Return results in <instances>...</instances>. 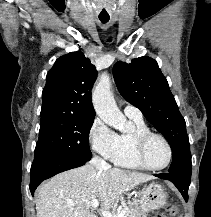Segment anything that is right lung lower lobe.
<instances>
[{
	"mask_svg": "<svg viewBox=\"0 0 211 217\" xmlns=\"http://www.w3.org/2000/svg\"><path fill=\"white\" fill-rule=\"evenodd\" d=\"M86 162L87 161L62 157H43L40 159H34L30 171L31 194H34L35 189L43 180L48 179L60 172L80 167Z\"/></svg>",
	"mask_w": 211,
	"mask_h": 217,
	"instance_id": "right-lung-lower-lobe-1",
	"label": "right lung lower lobe"
}]
</instances>
